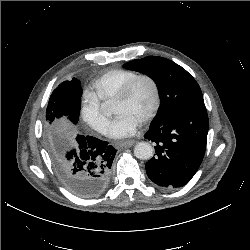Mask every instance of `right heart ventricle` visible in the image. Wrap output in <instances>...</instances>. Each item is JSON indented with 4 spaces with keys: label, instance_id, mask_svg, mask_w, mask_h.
<instances>
[{
    "label": "right heart ventricle",
    "instance_id": "e07e8e85",
    "mask_svg": "<svg viewBox=\"0 0 250 250\" xmlns=\"http://www.w3.org/2000/svg\"><path fill=\"white\" fill-rule=\"evenodd\" d=\"M137 75L138 73L125 69L107 71L92 82L89 94L100 104L112 102L123 86Z\"/></svg>",
    "mask_w": 250,
    "mask_h": 250
}]
</instances>
